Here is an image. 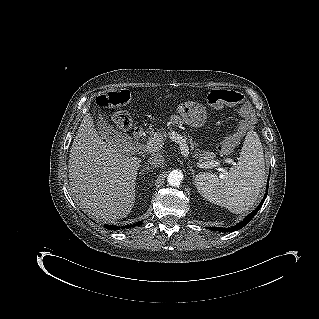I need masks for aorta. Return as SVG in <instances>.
Listing matches in <instances>:
<instances>
[{"label":"aorta","mask_w":319,"mask_h":319,"mask_svg":"<svg viewBox=\"0 0 319 319\" xmlns=\"http://www.w3.org/2000/svg\"><path fill=\"white\" fill-rule=\"evenodd\" d=\"M183 180V174L180 170H172L167 177L170 186H178Z\"/></svg>","instance_id":"obj_1"}]
</instances>
